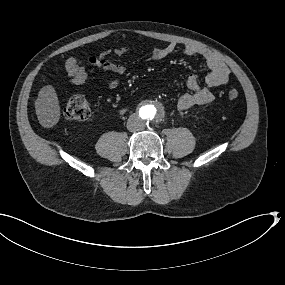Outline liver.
<instances>
[{
	"mask_svg": "<svg viewBox=\"0 0 285 285\" xmlns=\"http://www.w3.org/2000/svg\"><path fill=\"white\" fill-rule=\"evenodd\" d=\"M36 115L41 126L51 128L60 118V106L57 94L52 85L41 88L35 101Z\"/></svg>",
	"mask_w": 285,
	"mask_h": 285,
	"instance_id": "obj_1",
	"label": "liver"
}]
</instances>
